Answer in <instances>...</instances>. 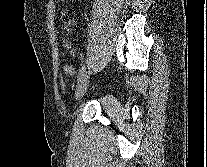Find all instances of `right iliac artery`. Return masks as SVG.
Here are the masks:
<instances>
[{
	"instance_id": "obj_1",
	"label": "right iliac artery",
	"mask_w": 207,
	"mask_h": 167,
	"mask_svg": "<svg viewBox=\"0 0 207 167\" xmlns=\"http://www.w3.org/2000/svg\"><path fill=\"white\" fill-rule=\"evenodd\" d=\"M86 67L85 65L82 66V68L79 71V74L77 76V81L80 82L83 76L85 75Z\"/></svg>"
}]
</instances>
